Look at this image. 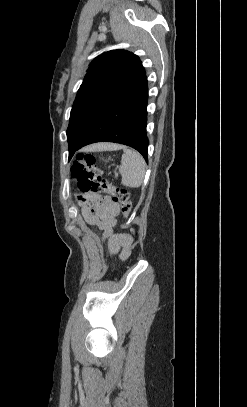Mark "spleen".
<instances>
[{"instance_id":"spleen-1","label":"spleen","mask_w":247,"mask_h":407,"mask_svg":"<svg viewBox=\"0 0 247 407\" xmlns=\"http://www.w3.org/2000/svg\"><path fill=\"white\" fill-rule=\"evenodd\" d=\"M119 172L122 176V185L130 188H138L142 185L145 175V160L136 151L123 148Z\"/></svg>"}]
</instances>
